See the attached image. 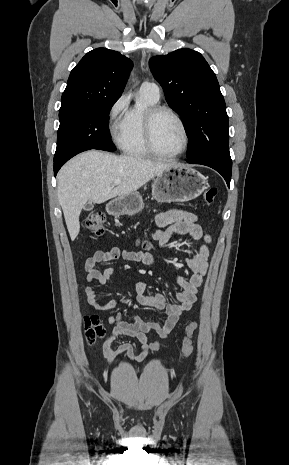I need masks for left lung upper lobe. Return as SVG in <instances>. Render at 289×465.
Wrapping results in <instances>:
<instances>
[{
  "label": "left lung upper lobe",
  "instance_id": "obj_1",
  "mask_svg": "<svg viewBox=\"0 0 289 465\" xmlns=\"http://www.w3.org/2000/svg\"><path fill=\"white\" fill-rule=\"evenodd\" d=\"M149 66L163 87L166 101L184 122L189 139L187 158L232 162L226 104L216 75L203 56L183 48L152 57Z\"/></svg>",
  "mask_w": 289,
  "mask_h": 465
}]
</instances>
